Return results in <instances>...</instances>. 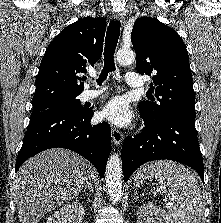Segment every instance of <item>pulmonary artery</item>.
<instances>
[{
    "label": "pulmonary artery",
    "instance_id": "1",
    "mask_svg": "<svg viewBox=\"0 0 221 223\" xmlns=\"http://www.w3.org/2000/svg\"><path fill=\"white\" fill-rule=\"evenodd\" d=\"M126 82L129 86L131 87H142L144 86V80L139 76L138 73L134 71H129L125 74ZM97 78L91 77L89 80L90 81H95ZM105 87L100 88V89H87L84 92V97L87 100L94 99L98 96H100L104 91Z\"/></svg>",
    "mask_w": 221,
    "mask_h": 223
}]
</instances>
